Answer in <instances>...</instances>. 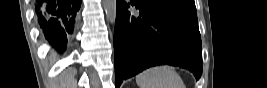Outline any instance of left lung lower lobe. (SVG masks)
Masks as SVG:
<instances>
[{
  "instance_id": "0a47b994",
  "label": "left lung lower lobe",
  "mask_w": 267,
  "mask_h": 88,
  "mask_svg": "<svg viewBox=\"0 0 267 88\" xmlns=\"http://www.w3.org/2000/svg\"><path fill=\"white\" fill-rule=\"evenodd\" d=\"M116 1L114 32L115 86L146 68L169 64L193 72L202 71L201 37L197 15L185 11L130 0Z\"/></svg>"
}]
</instances>
